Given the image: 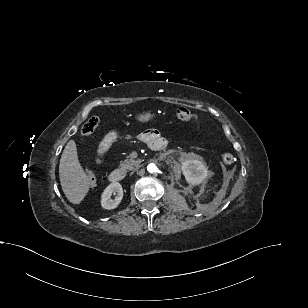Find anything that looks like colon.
<instances>
[{"instance_id":"obj_1","label":"colon","mask_w":308,"mask_h":308,"mask_svg":"<svg viewBox=\"0 0 308 308\" xmlns=\"http://www.w3.org/2000/svg\"><path fill=\"white\" fill-rule=\"evenodd\" d=\"M176 116L179 120L184 121V122H193L197 125H200V122L197 118L196 115H194L189 109L180 106L176 109ZM99 118L96 116L91 117L88 119L81 127V135L83 137H88L90 136L95 129L99 125ZM235 161V157L232 153H224L223 154V162L227 165L233 164ZM88 181H89V186L91 189H94L96 187V177L92 172L88 173Z\"/></svg>"}]
</instances>
